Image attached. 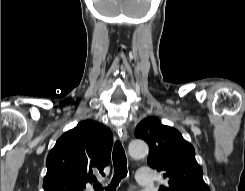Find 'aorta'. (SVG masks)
I'll return each instance as SVG.
<instances>
[{
	"mask_svg": "<svg viewBox=\"0 0 245 191\" xmlns=\"http://www.w3.org/2000/svg\"><path fill=\"white\" fill-rule=\"evenodd\" d=\"M129 154L135 159L145 157L148 154V145L141 140H134L128 146Z\"/></svg>",
	"mask_w": 245,
	"mask_h": 191,
	"instance_id": "aorta-1",
	"label": "aorta"
}]
</instances>
